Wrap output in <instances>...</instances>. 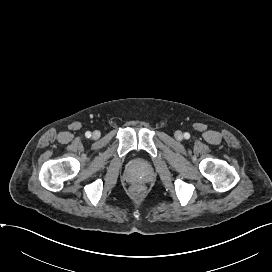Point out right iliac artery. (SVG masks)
Wrapping results in <instances>:
<instances>
[{"instance_id":"right-iliac-artery-1","label":"right iliac artery","mask_w":272,"mask_h":272,"mask_svg":"<svg viewBox=\"0 0 272 272\" xmlns=\"http://www.w3.org/2000/svg\"><path fill=\"white\" fill-rule=\"evenodd\" d=\"M85 136H86L87 138L91 137V132H90V131H87V132L85 133Z\"/></svg>"}]
</instances>
